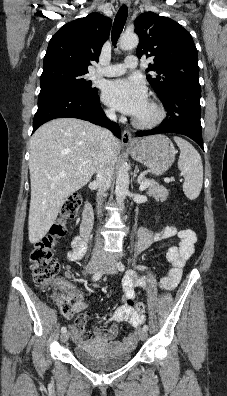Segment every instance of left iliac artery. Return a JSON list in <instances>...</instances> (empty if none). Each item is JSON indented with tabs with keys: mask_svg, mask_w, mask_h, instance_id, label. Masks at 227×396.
I'll return each mask as SVG.
<instances>
[{
	"mask_svg": "<svg viewBox=\"0 0 227 396\" xmlns=\"http://www.w3.org/2000/svg\"><path fill=\"white\" fill-rule=\"evenodd\" d=\"M117 268H118V270H120V271H124V270H125V266H124V264H123L122 262H118V263H117ZM143 330H144V331H147V330H148V326H147V325H144V326H143Z\"/></svg>",
	"mask_w": 227,
	"mask_h": 396,
	"instance_id": "44dca946",
	"label": "left iliac artery"
}]
</instances>
